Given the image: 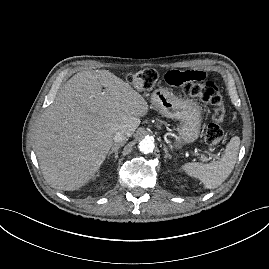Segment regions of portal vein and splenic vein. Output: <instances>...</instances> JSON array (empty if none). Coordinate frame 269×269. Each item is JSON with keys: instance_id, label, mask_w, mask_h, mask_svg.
Wrapping results in <instances>:
<instances>
[{"instance_id": "18ae733b", "label": "portal vein and splenic vein", "mask_w": 269, "mask_h": 269, "mask_svg": "<svg viewBox=\"0 0 269 269\" xmlns=\"http://www.w3.org/2000/svg\"><path fill=\"white\" fill-rule=\"evenodd\" d=\"M193 154L196 155V156L199 155V154L197 153V151H194ZM216 158H217V156H216Z\"/></svg>"}]
</instances>
